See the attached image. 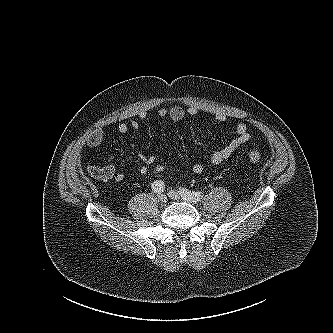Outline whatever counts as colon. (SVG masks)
Returning <instances> with one entry per match:
<instances>
[{
	"label": "colon",
	"instance_id": "colon-1",
	"mask_svg": "<svg viewBox=\"0 0 333 333\" xmlns=\"http://www.w3.org/2000/svg\"><path fill=\"white\" fill-rule=\"evenodd\" d=\"M248 155H249L250 161L253 164H258L261 162V154L257 150L251 149L249 151ZM166 168H167L166 164L157 163L151 169H149V172H152L154 174H159V173H162L163 171H165Z\"/></svg>",
	"mask_w": 333,
	"mask_h": 333
}]
</instances>
